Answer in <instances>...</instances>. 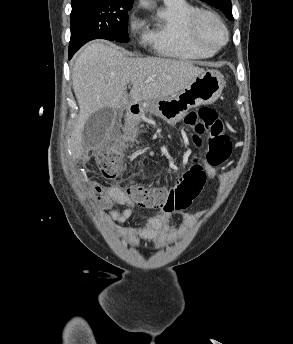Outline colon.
I'll return each mask as SVG.
<instances>
[{"label":"colon","instance_id":"1","mask_svg":"<svg viewBox=\"0 0 293 344\" xmlns=\"http://www.w3.org/2000/svg\"><path fill=\"white\" fill-rule=\"evenodd\" d=\"M184 123L193 131L191 138L194 145L200 146L202 136H208L205 156L208 166H221L230 158L231 138L216 109L203 107L190 112ZM92 161L101 174L109 179L121 175L125 168L124 157L116 150L99 151L92 156ZM122 187L133 200L144 207L172 211L189 207L200 193L203 184L195 179L192 170L185 173L172 187L145 186L129 178L124 179ZM91 205L97 211H106L112 207L113 202L106 190L100 186H93Z\"/></svg>","mask_w":293,"mask_h":344}]
</instances>
